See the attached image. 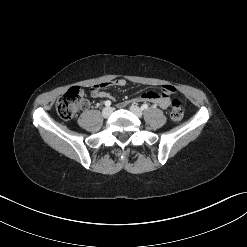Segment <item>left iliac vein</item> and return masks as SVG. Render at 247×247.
<instances>
[{
  "instance_id": "obj_1",
  "label": "left iliac vein",
  "mask_w": 247,
  "mask_h": 247,
  "mask_svg": "<svg viewBox=\"0 0 247 247\" xmlns=\"http://www.w3.org/2000/svg\"><path fill=\"white\" fill-rule=\"evenodd\" d=\"M130 111L133 112L137 117H142L143 115L142 110L136 105H131Z\"/></svg>"
}]
</instances>
